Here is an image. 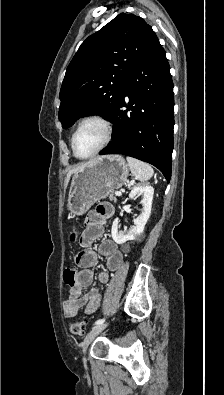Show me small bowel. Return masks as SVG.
<instances>
[{
    "label": "small bowel",
    "mask_w": 224,
    "mask_h": 395,
    "mask_svg": "<svg viewBox=\"0 0 224 395\" xmlns=\"http://www.w3.org/2000/svg\"><path fill=\"white\" fill-rule=\"evenodd\" d=\"M113 212L111 204L102 203L88 214L86 228L81 238L84 247H89L103 236L106 221ZM98 256L105 258L106 266L111 272L119 269L123 261L122 252L111 239L103 240L97 250L87 248L81 252L76 259L81 269L77 273L75 284L70 289L68 299L63 304L66 317H75L81 309H84L86 314H92L98 309L101 300L100 291L97 288H91L83 293V289L93 282L94 275L90 268L97 263ZM97 279L101 284H106L109 280V273L100 271Z\"/></svg>",
    "instance_id": "1"
}]
</instances>
